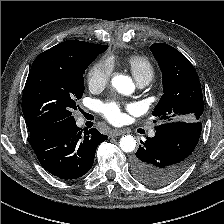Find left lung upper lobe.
Listing matches in <instances>:
<instances>
[{"mask_svg":"<svg viewBox=\"0 0 224 224\" xmlns=\"http://www.w3.org/2000/svg\"><path fill=\"white\" fill-rule=\"evenodd\" d=\"M150 50L162 71L164 92L152 114L163 123L200 121L204 102L199 77L193 65L167 44H152Z\"/></svg>","mask_w":224,"mask_h":224,"instance_id":"1","label":"left lung upper lobe"}]
</instances>
